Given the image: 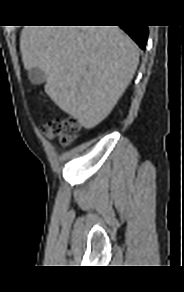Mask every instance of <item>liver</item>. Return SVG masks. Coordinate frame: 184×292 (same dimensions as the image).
<instances>
[{"mask_svg": "<svg viewBox=\"0 0 184 292\" xmlns=\"http://www.w3.org/2000/svg\"><path fill=\"white\" fill-rule=\"evenodd\" d=\"M20 49L24 68L44 71L47 95L86 129L108 116L139 62L118 26H25Z\"/></svg>", "mask_w": 184, "mask_h": 292, "instance_id": "obj_1", "label": "liver"}]
</instances>
